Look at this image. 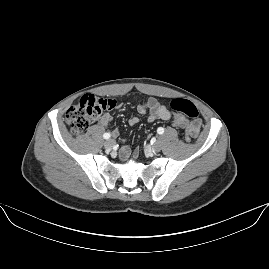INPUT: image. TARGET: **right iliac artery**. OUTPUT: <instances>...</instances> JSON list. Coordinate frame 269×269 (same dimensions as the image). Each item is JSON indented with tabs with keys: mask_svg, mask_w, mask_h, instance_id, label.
I'll return each mask as SVG.
<instances>
[{
	"mask_svg": "<svg viewBox=\"0 0 269 269\" xmlns=\"http://www.w3.org/2000/svg\"><path fill=\"white\" fill-rule=\"evenodd\" d=\"M110 136H111V135H110L109 133H104V134H103V138H104V139H109Z\"/></svg>",
	"mask_w": 269,
	"mask_h": 269,
	"instance_id": "right-iliac-artery-1",
	"label": "right iliac artery"
}]
</instances>
